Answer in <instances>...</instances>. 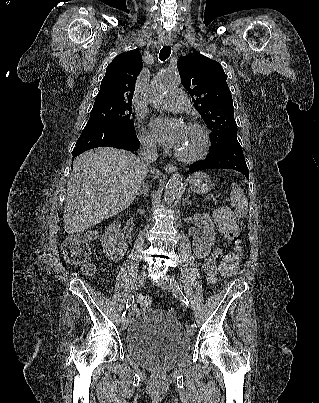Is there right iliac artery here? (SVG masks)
I'll use <instances>...</instances> for the list:
<instances>
[{
    "label": "right iliac artery",
    "instance_id": "right-iliac-artery-1",
    "mask_svg": "<svg viewBox=\"0 0 319 403\" xmlns=\"http://www.w3.org/2000/svg\"><path fill=\"white\" fill-rule=\"evenodd\" d=\"M133 303H134V296H133V295H130V296L128 297V299H127L126 310H125V311L123 312V314H122V318H121L122 321H123V320L125 319V317H126L127 309H128Z\"/></svg>",
    "mask_w": 319,
    "mask_h": 403
}]
</instances>
